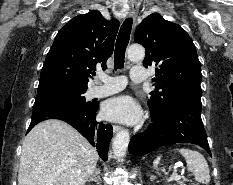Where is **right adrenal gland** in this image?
<instances>
[{
	"mask_svg": "<svg viewBox=\"0 0 233 185\" xmlns=\"http://www.w3.org/2000/svg\"><path fill=\"white\" fill-rule=\"evenodd\" d=\"M89 182L94 181L97 184H100V169L99 168H95L93 174L89 177Z\"/></svg>",
	"mask_w": 233,
	"mask_h": 185,
	"instance_id": "2a0ac1e0",
	"label": "right adrenal gland"
}]
</instances>
